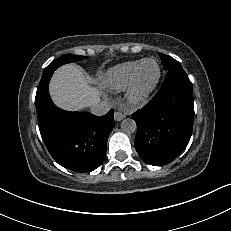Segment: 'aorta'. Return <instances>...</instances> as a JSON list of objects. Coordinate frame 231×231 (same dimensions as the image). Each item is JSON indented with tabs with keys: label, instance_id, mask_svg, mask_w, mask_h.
<instances>
[{
	"label": "aorta",
	"instance_id": "762f6f07",
	"mask_svg": "<svg viewBox=\"0 0 231 231\" xmlns=\"http://www.w3.org/2000/svg\"><path fill=\"white\" fill-rule=\"evenodd\" d=\"M136 129V122L131 118H126L121 122V130L126 134L134 133Z\"/></svg>",
	"mask_w": 231,
	"mask_h": 231
}]
</instances>
